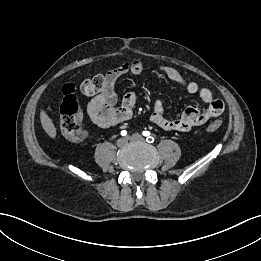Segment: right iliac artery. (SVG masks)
I'll list each match as a JSON object with an SVG mask.
<instances>
[{
    "label": "right iliac artery",
    "mask_w": 261,
    "mask_h": 261,
    "mask_svg": "<svg viewBox=\"0 0 261 261\" xmlns=\"http://www.w3.org/2000/svg\"><path fill=\"white\" fill-rule=\"evenodd\" d=\"M121 135L122 136H126L127 135V131H125V130L121 131Z\"/></svg>",
    "instance_id": "1"
}]
</instances>
